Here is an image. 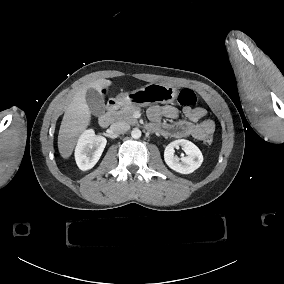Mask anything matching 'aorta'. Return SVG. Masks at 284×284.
<instances>
[{"label": "aorta", "mask_w": 284, "mask_h": 284, "mask_svg": "<svg viewBox=\"0 0 284 284\" xmlns=\"http://www.w3.org/2000/svg\"><path fill=\"white\" fill-rule=\"evenodd\" d=\"M131 136H132V138H134V139L140 138V137H141V130L138 129V128H134V129L132 130V132H131Z\"/></svg>", "instance_id": "obj_1"}]
</instances>
